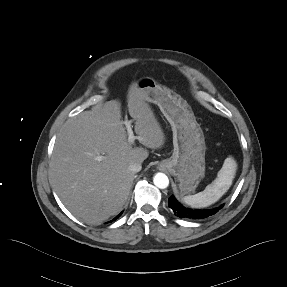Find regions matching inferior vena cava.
<instances>
[{
	"mask_svg": "<svg viewBox=\"0 0 287 287\" xmlns=\"http://www.w3.org/2000/svg\"><path fill=\"white\" fill-rule=\"evenodd\" d=\"M142 166L141 163L135 162L129 166V170L133 173H137L141 170Z\"/></svg>",
	"mask_w": 287,
	"mask_h": 287,
	"instance_id": "obj_1",
	"label": "inferior vena cava"
}]
</instances>
